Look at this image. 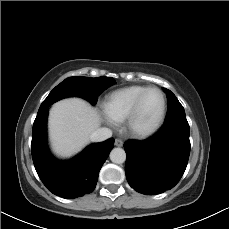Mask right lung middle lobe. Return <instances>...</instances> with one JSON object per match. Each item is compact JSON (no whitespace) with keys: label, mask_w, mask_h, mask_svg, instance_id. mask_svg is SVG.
<instances>
[{"label":"right lung middle lobe","mask_w":229,"mask_h":229,"mask_svg":"<svg viewBox=\"0 0 229 229\" xmlns=\"http://www.w3.org/2000/svg\"><path fill=\"white\" fill-rule=\"evenodd\" d=\"M116 84L112 77H69L57 85L42 102V105H52L54 102L71 96H77L96 104L98 95L108 87Z\"/></svg>","instance_id":"dd1d6c3e"}]
</instances>
